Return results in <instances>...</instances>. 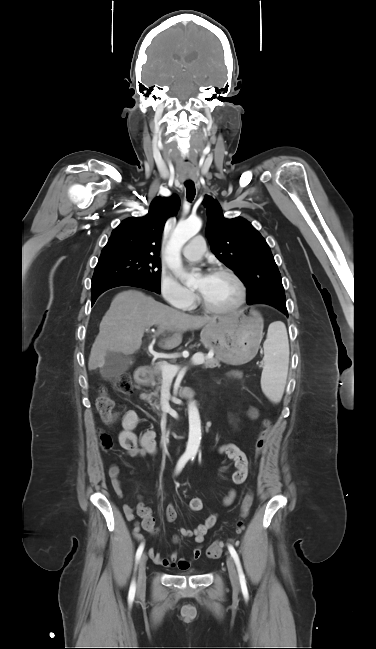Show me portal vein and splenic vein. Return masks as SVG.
<instances>
[{"instance_id": "portal-vein-and-splenic-vein-1", "label": "portal vein and splenic vein", "mask_w": 376, "mask_h": 649, "mask_svg": "<svg viewBox=\"0 0 376 649\" xmlns=\"http://www.w3.org/2000/svg\"><path fill=\"white\" fill-rule=\"evenodd\" d=\"M146 330H148V329H146ZM211 357H212V355L208 356V358H211ZM204 360L205 359H204L203 355H201V354H195L192 357V362H193L194 365H201V364L204 363ZM160 368H161L162 377H163V379H166V380H172L174 378V376H176V374L180 370V368L178 366L170 365V364H167V363L161 365Z\"/></svg>"}]
</instances>
